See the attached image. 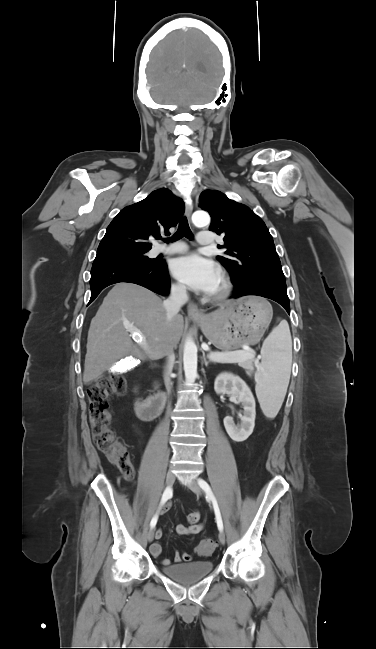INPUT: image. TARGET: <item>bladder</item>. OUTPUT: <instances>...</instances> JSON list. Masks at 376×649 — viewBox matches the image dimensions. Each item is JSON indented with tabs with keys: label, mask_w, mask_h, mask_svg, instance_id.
Instances as JSON below:
<instances>
[{
	"label": "bladder",
	"mask_w": 376,
	"mask_h": 649,
	"mask_svg": "<svg viewBox=\"0 0 376 649\" xmlns=\"http://www.w3.org/2000/svg\"><path fill=\"white\" fill-rule=\"evenodd\" d=\"M211 561H194L162 568L163 574L181 584H192L208 576L213 571Z\"/></svg>",
	"instance_id": "obj_1"
}]
</instances>
